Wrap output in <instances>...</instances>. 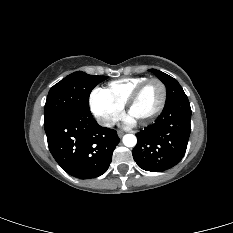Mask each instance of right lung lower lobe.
<instances>
[{"label": "right lung lower lobe", "mask_w": 233, "mask_h": 233, "mask_svg": "<svg viewBox=\"0 0 233 233\" xmlns=\"http://www.w3.org/2000/svg\"><path fill=\"white\" fill-rule=\"evenodd\" d=\"M44 128L54 159L80 179L105 173L120 141L116 131L98 125L88 109L56 116L44 122Z\"/></svg>", "instance_id": "1"}]
</instances>
